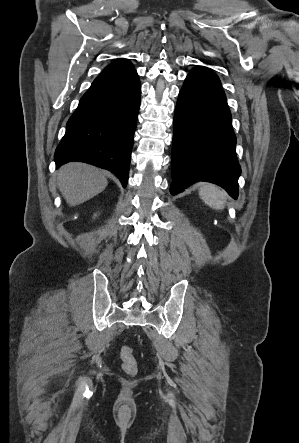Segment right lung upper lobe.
Segmentation results:
<instances>
[{
    "label": "right lung upper lobe",
    "mask_w": 299,
    "mask_h": 443,
    "mask_svg": "<svg viewBox=\"0 0 299 443\" xmlns=\"http://www.w3.org/2000/svg\"><path fill=\"white\" fill-rule=\"evenodd\" d=\"M133 67V65L127 61V60H117L111 64H109L104 70L105 71H114V70H121V69H126V68H130Z\"/></svg>",
    "instance_id": "cb5924a9"
}]
</instances>
